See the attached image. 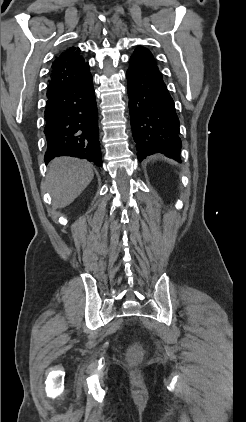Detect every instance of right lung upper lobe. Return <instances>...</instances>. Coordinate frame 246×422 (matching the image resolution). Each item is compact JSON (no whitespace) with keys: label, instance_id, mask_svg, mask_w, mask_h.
Here are the masks:
<instances>
[{"label":"right lung upper lobe","instance_id":"1","mask_svg":"<svg viewBox=\"0 0 246 422\" xmlns=\"http://www.w3.org/2000/svg\"><path fill=\"white\" fill-rule=\"evenodd\" d=\"M80 49L68 47L52 63L47 95L58 92L90 75L89 64L79 54Z\"/></svg>","mask_w":246,"mask_h":422}]
</instances>
